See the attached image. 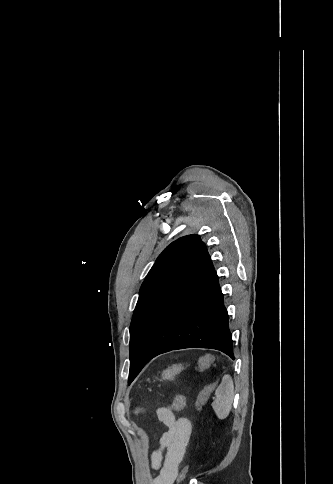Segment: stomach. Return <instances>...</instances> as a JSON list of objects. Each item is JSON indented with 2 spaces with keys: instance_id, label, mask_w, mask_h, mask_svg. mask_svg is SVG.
I'll return each instance as SVG.
<instances>
[{
  "instance_id": "stomach-1",
  "label": "stomach",
  "mask_w": 333,
  "mask_h": 484,
  "mask_svg": "<svg viewBox=\"0 0 333 484\" xmlns=\"http://www.w3.org/2000/svg\"><path fill=\"white\" fill-rule=\"evenodd\" d=\"M184 367L181 364L173 365L172 367L167 368L163 371L162 377L163 379H173L174 376L180 373Z\"/></svg>"
}]
</instances>
